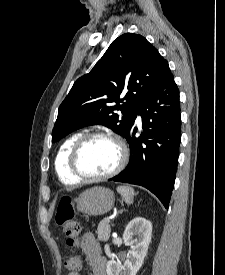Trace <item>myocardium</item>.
<instances>
[{
  "label": "myocardium",
  "instance_id": "myocardium-1",
  "mask_svg": "<svg viewBox=\"0 0 225 275\" xmlns=\"http://www.w3.org/2000/svg\"><path fill=\"white\" fill-rule=\"evenodd\" d=\"M95 138H104L113 141L117 144L119 149V160L117 165L113 170L102 175H88L83 173L78 164L79 155L85 145L95 139ZM129 157L128 149L124 141L117 135L103 132V131H93L90 133L83 134L79 139L74 143L70 154H69V169L71 173L79 180L84 181H102L114 177L119 174L127 164Z\"/></svg>",
  "mask_w": 225,
  "mask_h": 275
}]
</instances>
